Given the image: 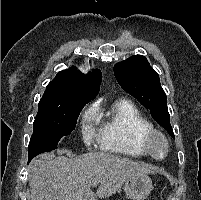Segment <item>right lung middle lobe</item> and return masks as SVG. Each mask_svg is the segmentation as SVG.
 <instances>
[{
	"mask_svg": "<svg viewBox=\"0 0 201 200\" xmlns=\"http://www.w3.org/2000/svg\"><path fill=\"white\" fill-rule=\"evenodd\" d=\"M90 100H54L41 98L33 123L29 145H57L76 126L78 116Z\"/></svg>",
	"mask_w": 201,
	"mask_h": 200,
	"instance_id": "right-lung-middle-lobe-1",
	"label": "right lung middle lobe"
}]
</instances>
